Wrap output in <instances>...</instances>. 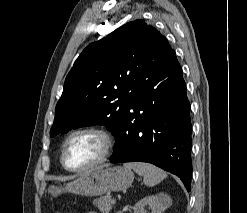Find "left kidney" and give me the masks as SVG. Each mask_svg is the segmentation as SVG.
<instances>
[{
  "instance_id": "5707ae66",
  "label": "left kidney",
  "mask_w": 247,
  "mask_h": 213,
  "mask_svg": "<svg viewBox=\"0 0 247 213\" xmlns=\"http://www.w3.org/2000/svg\"><path fill=\"white\" fill-rule=\"evenodd\" d=\"M163 199L164 196L162 194L155 196H147L134 205V213H147L145 207L151 209V213H162Z\"/></svg>"
}]
</instances>
